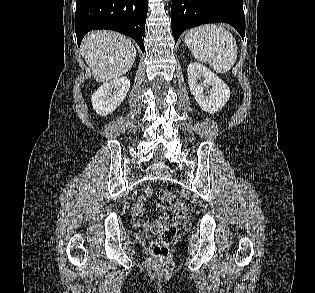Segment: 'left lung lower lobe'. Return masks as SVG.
<instances>
[{
  "label": "left lung lower lobe",
  "mask_w": 315,
  "mask_h": 293,
  "mask_svg": "<svg viewBox=\"0 0 315 293\" xmlns=\"http://www.w3.org/2000/svg\"><path fill=\"white\" fill-rule=\"evenodd\" d=\"M171 21L175 42L186 29L217 22L228 23L245 36L242 0H173Z\"/></svg>",
  "instance_id": "left-lung-lower-lobe-1"
}]
</instances>
